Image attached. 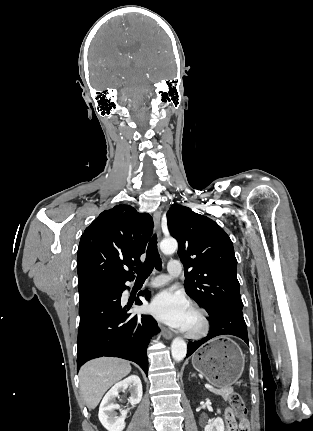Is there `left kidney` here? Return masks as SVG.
Wrapping results in <instances>:
<instances>
[{"label":"left kidney","instance_id":"obj_1","mask_svg":"<svg viewBox=\"0 0 313 431\" xmlns=\"http://www.w3.org/2000/svg\"><path fill=\"white\" fill-rule=\"evenodd\" d=\"M220 413V410H218ZM204 431H225L223 419L217 417L212 423L205 426Z\"/></svg>","mask_w":313,"mask_h":431}]
</instances>
